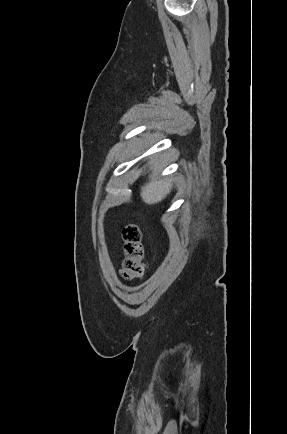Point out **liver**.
I'll use <instances>...</instances> for the list:
<instances>
[{
  "instance_id": "obj_1",
  "label": "liver",
  "mask_w": 287,
  "mask_h": 434,
  "mask_svg": "<svg viewBox=\"0 0 287 434\" xmlns=\"http://www.w3.org/2000/svg\"><path fill=\"white\" fill-rule=\"evenodd\" d=\"M159 171L160 167L155 164L151 181L141 187L140 196L146 204L152 205L161 202L173 188L170 180L158 178Z\"/></svg>"
}]
</instances>
